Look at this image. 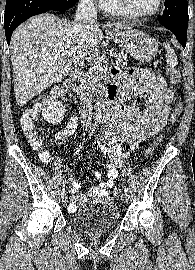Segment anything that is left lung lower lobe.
<instances>
[{
    "label": "left lung lower lobe",
    "mask_w": 195,
    "mask_h": 270,
    "mask_svg": "<svg viewBox=\"0 0 195 270\" xmlns=\"http://www.w3.org/2000/svg\"><path fill=\"white\" fill-rule=\"evenodd\" d=\"M158 19L161 25L175 34L185 48L189 20L187 0H165L164 13Z\"/></svg>",
    "instance_id": "obj_1"
}]
</instances>
